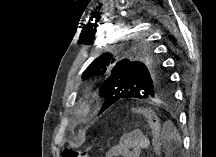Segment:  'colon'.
Here are the masks:
<instances>
[{
    "mask_svg": "<svg viewBox=\"0 0 216 157\" xmlns=\"http://www.w3.org/2000/svg\"><path fill=\"white\" fill-rule=\"evenodd\" d=\"M135 115L142 117L153 134H158L160 123L157 115L151 109L136 110L133 112ZM88 150H76L73 148H65L62 152V157H87Z\"/></svg>",
    "mask_w": 216,
    "mask_h": 157,
    "instance_id": "5ec220e1",
    "label": "colon"
}]
</instances>
